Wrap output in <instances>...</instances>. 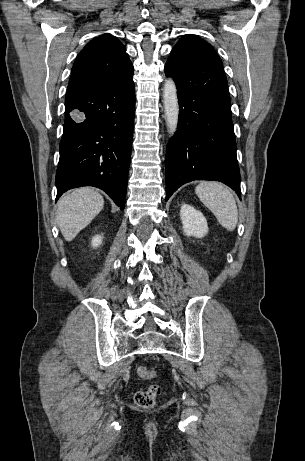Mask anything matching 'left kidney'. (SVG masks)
I'll return each instance as SVG.
<instances>
[{
  "label": "left kidney",
  "mask_w": 305,
  "mask_h": 461,
  "mask_svg": "<svg viewBox=\"0 0 305 461\" xmlns=\"http://www.w3.org/2000/svg\"><path fill=\"white\" fill-rule=\"evenodd\" d=\"M183 232L186 236L202 238L208 233L204 215L189 204H183L180 210Z\"/></svg>",
  "instance_id": "left-kidney-1"
}]
</instances>
